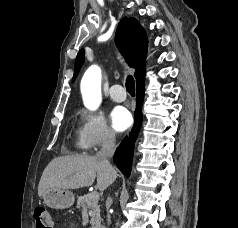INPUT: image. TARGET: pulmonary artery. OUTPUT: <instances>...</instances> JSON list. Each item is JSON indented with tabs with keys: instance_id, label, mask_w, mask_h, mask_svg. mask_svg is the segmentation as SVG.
I'll return each instance as SVG.
<instances>
[{
	"instance_id": "e3ab8cb5",
	"label": "pulmonary artery",
	"mask_w": 238,
	"mask_h": 228,
	"mask_svg": "<svg viewBox=\"0 0 238 228\" xmlns=\"http://www.w3.org/2000/svg\"><path fill=\"white\" fill-rule=\"evenodd\" d=\"M109 96L113 101L122 102L126 99V92L121 85H113L109 89Z\"/></svg>"
}]
</instances>
